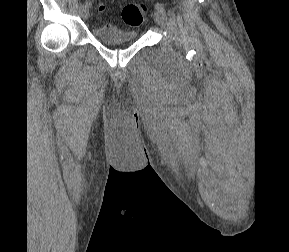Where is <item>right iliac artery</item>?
<instances>
[{
	"label": "right iliac artery",
	"mask_w": 289,
	"mask_h": 252,
	"mask_svg": "<svg viewBox=\"0 0 289 252\" xmlns=\"http://www.w3.org/2000/svg\"><path fill=\"white\" fill-rule=\"evenodd\" d=\"M84 6L90 8L91 7V2L90 1L85 2Z\"/></svg>",
	"instance_id": "obj_1"
}]
</instances>
